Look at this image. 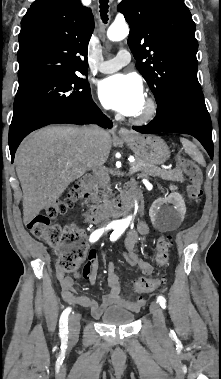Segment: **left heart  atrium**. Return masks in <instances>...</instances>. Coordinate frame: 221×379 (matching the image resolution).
Wrapping results in <instances>:
<instances>
[{"instance_id":"obj_1","label":"left heart atrium","mask_w":221,"mask_h":379,"mask_svg":"<svg viewBox=\"0 0 221 379\" xmlns=\"http://www.w3.org/2000/svg\"><path fill=\"white\" fill-rule=\"evenodd\" d=\"M99 97L107 108L126 116L136 115L145 102L141 81L125 74L104 79L99 85Z\"/></svg>"}]
</instances>
